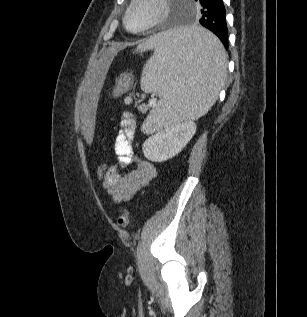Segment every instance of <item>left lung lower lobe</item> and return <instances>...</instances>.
Segmentation results:
<instances>
[{
	"instance_id": "obj_1",
	"label": "left lung lower lobe",
	"mask_w": 307,
	"mask_h": 317,
	"mask_svg": "<svg viewBox=\"0 0 307 317\" xmlns=\"http://www.w3.org/2000/svg\"><path fill=\"white\" fill-rule=\"evenodd\" d=\"M201 6L200 24L212 31L228 49V30L226 24V10L222 0H196ZM214 61V55L209 54Z\"/></svg>"
}]
</instances>
